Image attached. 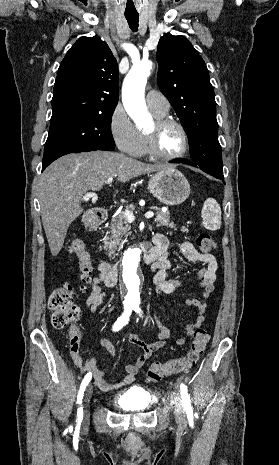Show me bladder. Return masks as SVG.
<instances>
[{
  "label": "bladder",
  "mask_w": 279,
  "mask_h": 465,
  "mask_svg": "<svg viewBox=\"0 0 279 465\" xmlns=\"http://www.w3.org/2000/svg\"><path fill=\"white\" fill-rule=\"evenodd\" d=\"M115 405L123 411L142 412L152 404L151 394L141 386H132L115 396Z\"/></svg>",
  "instance_id": "1"
}]
</instances>
